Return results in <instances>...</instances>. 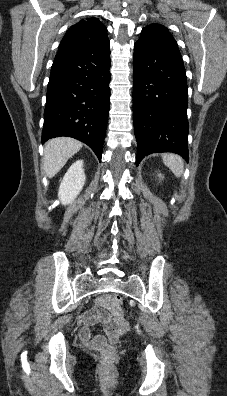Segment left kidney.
Here are the masks:
<instances>
[{
    "label": "left kidney",
    "mask_w": 227,
    "mask_h": 396,
    "mask_svg": "<svg viewBox=\"0 0 227 396\" xmlns=\"http://www.w3.org/2000/svg\"><path fill=\"white\" fill-rule=\"evenodd\" d=\"M159 177H162V175H161V174H159Z\"/></svg>",
    "instance_id": "obj_1"
}]
</instances>
